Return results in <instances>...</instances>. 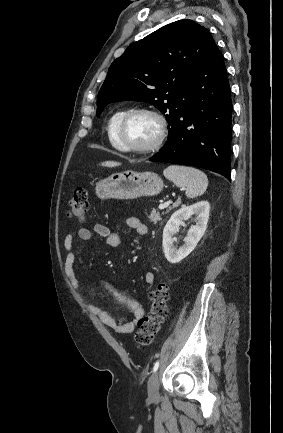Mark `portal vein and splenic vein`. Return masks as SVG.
Listing matches in <instances>:
<instances>
[{
    "label": "portal vein and splenic vein",
    "instance_id": "portal-vein-and-splenic-vein-1",
    "mask_svg": "<svg viewBox=\"0 0 283 433\" xmlns=\"http://www.w3.org/2000/svg\"><path fill=\"white\" fill-rule=\"evenodd\" d=\"M170 202V200H168ZM165 206H168V204H159L158 208H165Z\"/></svg>",
    "mask_w": 283,
    "mask_h": 433
}]
</instances>
